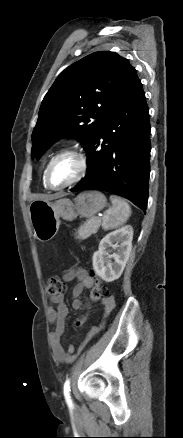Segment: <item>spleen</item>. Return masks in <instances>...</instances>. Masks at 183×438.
Instances as JSON below:
<instances>
[{"label": "spleen", "mask_w": 183, "mask_h": 438, "mask_svg": "<svg viewBox=\"0 0 183 438\" xmlns=\"http://www.w3.org/2000/svg\"><path fill=\"white\" fill-rule=\"evenodd\" d=\"M112 206L104 212L102 227L110 230L123 225L131 215L129 204L118 196L111 195Z\"/></svg>", "instance_id": "3e777b00"}]
</instances>
